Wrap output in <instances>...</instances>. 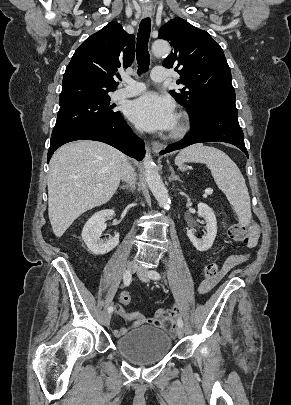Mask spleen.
<instances>
[{
    "instance_id": "spleen-1",
    "label": "spleen",
    "mask_w": 291,
    "mask_h": 405,
    "mask_svg": "<svg viewBox=\"0 0 291 405\" xmlns=\"http://www.w3.org/2000/svg\"><path fill=\"white\" fill-rule=\"evenodd\" d=\"M184 162H199L206 164L212 176L226 195L235 210L239 222L248 224L251 220L250 196L245 179L238 166L223 151L196 144L182 150L175 158V164L180 166Z\"/></svg>"
}]
</instances>
